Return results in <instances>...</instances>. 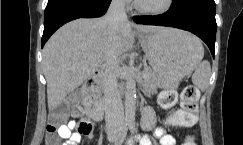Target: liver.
Listing matches in <instances>:
<instances>
[{"mask_svg": "<svg viewBox=\"0 0 243 145\" xmlns=\"http://www.w3.org/2000/svg\"><path fill=\"white\" fill-rule=\"evenodd\" d=\"M162 28L126 21L113 34L105 17L77 19L61 27L43 49L49 110L77 89L103 64L108 54L118 57L128 51L134 44L133 29L149 34Z\"/></svg>", "mask_w": 243, "mask_h": 145, "instance_id": "liver-1", "label": "liver"}]
</instances>
